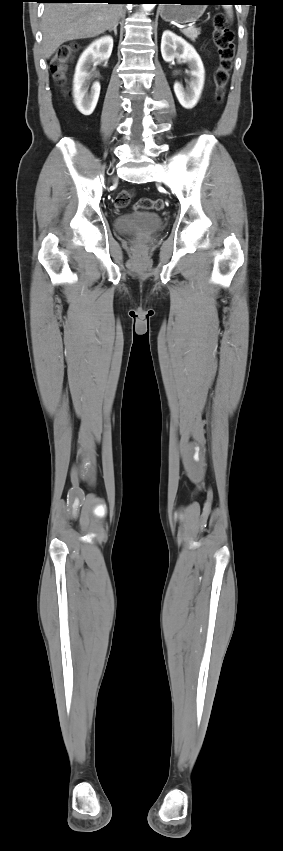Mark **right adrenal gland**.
<instances>
[{"label": "right adrenal gland", "mask_w": 283, "mask_h": 851, "mask_svg": "<svg viewBox=\"0 0 283 851\" xmlns=\"http://www.w3.org/2000/svg\"><path fill=\"white\" fill-rule=\"evenodd\" d=\"M118 24H119V23H117V24H116L113 28L109 29V32L114 31L115 36H117V26H118Z\"/></svg>", "instance_id": "right-adrenal-gland-1"}]
</instances>
